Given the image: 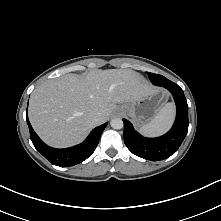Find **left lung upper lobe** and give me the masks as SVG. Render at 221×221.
I'll use <instances>...</instances> for the list:
<instances>
[{"instance_id":"left-lung-upper-lobe-1","label":"left lung upper lobe","mask_w":221,"mask_h":221,"mask_svg":"<svg viewBox=\"0 0 221 221\" xmlns=\"http://www.w3.org/2000/svg\"><path fill=\"white\" fill-rule=\"evenodd\" d=\"M151 82L154 84V85H157V86H160L162 85L163 83H166L170 80H168L167 78H165L164 76L162 75H158V74H154V73H149L147 72Z\"/></svg>"}]
</instances>
